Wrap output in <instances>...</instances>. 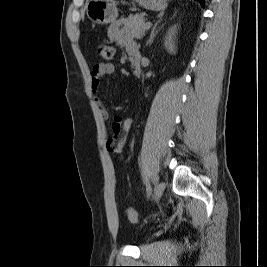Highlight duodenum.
<instances>
[{"instance_id": "duodenum-1", "label": "duodenum", "mask_w": 267, "mask_h": 267, "mask_svg": "<svg viewBox=\"0 0 267 267\" xmlns=\"http://www.w3.org/2000/svg\"><path fill=\"white\" fill-rule=\"evenodd\" d=\"M132 72L135 76L141 74V61L139 57H134L131 59Z\"/></svg>"}]
</instances>
